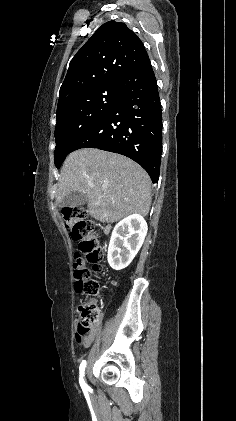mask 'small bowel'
Wrapping results in <instances>:
<instances>
[{
	"label": "small bowel",
	"instance_id": "small-bowel-1",
	"mask_svg": "<svg viewBox=\"0 0 236 421\" xmlns=\"http://www.w3.org/2000/svg\"><path fill=\"white\" fill-rule=\"evenodd\" d=\"M98 326H96L88 335L84 337L83 344L89 345L95 338V335L98 331Z\"/></svg>",
	"mask_w": 236,
	"mask_h": 421
}]
</instances>
